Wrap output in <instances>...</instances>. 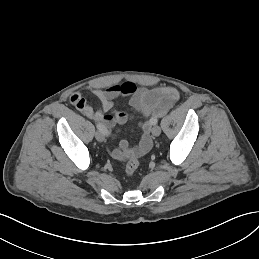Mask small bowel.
<instances>
[{"instance_id":"c3829d8e","label":"small bowel","mask_w":259,"mask_h":259,"mask_svg":"<svg viewBox=\"0 0 259 259\" xmlns=\"http://www.w3.org/2000/svg\"><path fill=\"white\" fill-rule=\"evenodd\" d=\"M89 91L101 102V108L95 109L90 106L82 93L75 92L70 96V103L87 118L97 121L106 129H112L116 125L125 124L129 117L122 111H116L114 115L107 112L111 110L119 97L130 96V104L133 108L142 112L147 118L141 122V138L135 148H130L126 140L121 141L119 148L110 149V155L117 160L128 157H139L146 154L152 147L150 136L151 128L155 120L162 117L179 99L178 91L169 86L145 88L137 87L133 82L111 85L107 88L91 86Z\"/></svg>"}]
</instances>
